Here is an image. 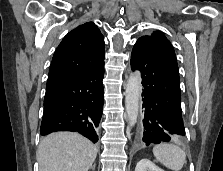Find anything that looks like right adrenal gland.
Returning a JSON list of instances; mask_svg holds the SVG:
<instances>
[{"label": "right adrenal gland", "instance_id": "1", "mask_svg": "<svg viewBox=\"0 0 223 171\" xmlns=\"http://www.w3.org/2000/svg\"><path fill=\"white\" fill-rule=\"evenodd\" d=\"M95 165H96V164H94V165L91 167V169H92L93 171H94V169H95Z\"/></svg>", "mask_w": 223, "mask_h": 171}]
</instances>
